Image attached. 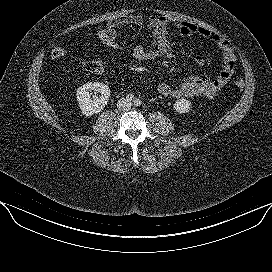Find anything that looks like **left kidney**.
<instances>
[{
  "mask_svg": "<svg viewBox=\"0 0 272 272\" xmlns=\"http://www.w3.org/2000/svg\"><path fill=\"white\" fill-rule=\"evenodd\" d=\"M191 107V102L186 99L177 100L174 104V109L180 114L189 112Z\"/></svg>",
  "mask_w": 272,
  "mask_h": 272,
  "instance_id": "obj_1",
  "label": "left kidney"
}]
</instances>
